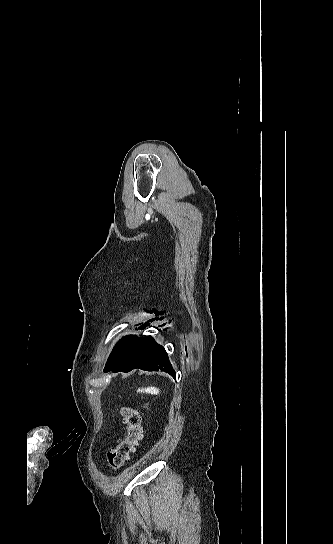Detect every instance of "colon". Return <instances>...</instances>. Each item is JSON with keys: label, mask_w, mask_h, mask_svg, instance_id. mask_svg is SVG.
Wrapping results in <instances>:
<instances>
[{"label": "colon", "mask_w": 333, "mask_h": 544, "mask_svg": "<svg viewBox=\"0 0 333 544\" xmlns=\"http://www.w3.org/2000/svg\"><path fill=\"white\" fill-rule=\"evenodd\" d=\"M120 414L127 428L125 439L107 453V464L112 470L121 469L136 451L143 436L142 418L138 410L123 406Z\"/></svg>", "instance_id": "colon-1"}]
</instances>
